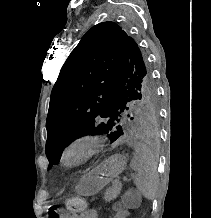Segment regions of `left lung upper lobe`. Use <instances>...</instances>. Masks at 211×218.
Returning <instances> with one entry per match:
<instances>
[{
  "label": "left lung upper lobe",
  "mask_w": 211,
  "mask_h": 218,
  "mask_svg": "<svg viewBox=\"0 0 211 218\" xmlns=\"http://www.w3.org/2000/svg\"><path fill=\"white\" fill-rule=\"evenodd\" d=\"M158 117L151 71L136 42L114 22L93 26L64 63L52 89L46 121L49 168L84 135L114 142L134 121L150 127Z\"/></svg>",
  "instance_id": "1"
}]
</instances>
